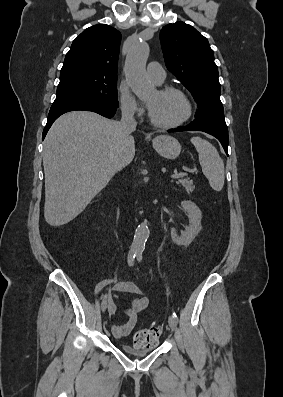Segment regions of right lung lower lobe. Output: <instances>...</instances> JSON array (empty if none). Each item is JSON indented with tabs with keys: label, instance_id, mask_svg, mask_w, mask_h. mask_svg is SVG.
<instances>
[{
	"label": "right lung lower lobe",
	"instance_id": "98d812e1",
	"mask_svg": "<svg viewBox=\"0 0 283 397\" xmlns=\"http://www.w3.org/2000/svg\"><path fill=\"white\" fill-rule=\"evenodd\" d=\"M74 110H85V111H92L96 112L102 116L107 118H111L114 116L117 108L103 106L101 104L89 102V101H82V100H66V101H58L54 102L50 108L48 114L47 124L43 130V138L47 134V131L51 127L52 123L62 114L74 111Z\"/></svg>",
	"mask_w": 283,
	"mask_h": 397
}]
</instances>
